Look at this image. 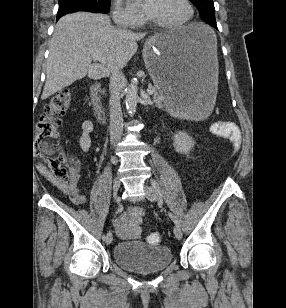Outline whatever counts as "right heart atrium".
<instances>
[{"label": "right heart atrium", "instance_id": "right-heart-atrium-1", "mask_svg": "<svg viewBox=\"0 0 286 308\" xmlns=\"http://www.w3.org/2000/svg\"><path fill=\"white\" fill-rule=\"evenodd\" d=\"M113 20L114 22L122 27L134 28L142 23V18L125 7L121 0H115L113 6Z\"/></svg>", "mask_w": 286, "mask_h": 308}]
</instances>
